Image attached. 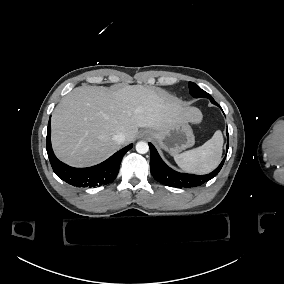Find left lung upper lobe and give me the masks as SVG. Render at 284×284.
<instances>
[{"label": "left lung upper lobe", "instance_id": "left-lung-upper-lobe-1", "mask_svg": "<svg viewBox=\"0 0 284 284\" xmlns=\"http://www.w3.org/2000/svg\"><path fill=\"white\" fill-rule=\"evenodd\" d=\"M189 91L194 98L205 97L208 98L211 102L214 101L211 95H209L207 92L202 90L199 86H197L193 82H189Z\"/></svg>", "mask_w": 284, "mask_h": 284}]
</instances>
